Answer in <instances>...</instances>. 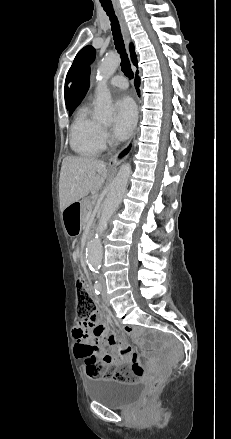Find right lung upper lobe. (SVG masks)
I'll use <instances>...</instances> for the list:
<instances>
[{
    "label": "right lung upper lobe",
    "instance_id": "1",
    "mask_svg": "<svg viewBox=\"0 0 231 439\" xmlns=\"http://www.w3.org/2000/svg\"><path fill=\"white\" fill-rule=\"evenodd\" d=\"M130 52H131V59L134 65H137L136 54L134 52V47L132 44L130 45ZM89 78H90V68L88 67L73 92L71 103L69 102L68 104L70 110L75 109L76 106L79 105V103L82 101L85 94L87 93L90 84Z\"/></svg>",
    "mask_w": 231,
    "mask_h": 439
}]
</instances>
